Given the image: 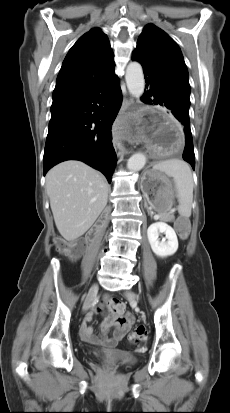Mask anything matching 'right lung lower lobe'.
<instances>
[{"label": "right lung lower lobe", "mask_w": 230, "mask_h": 413, "mask_svg": "<svg viewBox=\"0 0 230 413\" xmlns=\"http://www.w3.org/2000/svg\"><path fill=\"white\" fill-rule=\"evenodd\" d=\"M113 74L78 94L54 98L46 139L44 175L65 160H80L101 171L111 182L116 164L111 128L122 103Z\"/></svg>", "instance_id": "1"}]
</instances>
